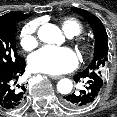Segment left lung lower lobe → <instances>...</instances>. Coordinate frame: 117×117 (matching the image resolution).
I'll use <instances>...</instances> for the list:
<instances>
[{
  "instance_id": "obj_1",
  "label": "left lung lower lobe",
  "mask_w": 117,
  "mask_h": 117,
  "mask_svg": "<svg viewBox=\"0 0 117 117\" xmlns=\"http://www.w3.org/2000/svg\"><path fill=\"white\" fill-rule=\"evenodd\" d=\"M76 82H85L84 89L64 97L63 103L69 108H82L90 106L99 95L103 86V77L95 72L82 71L74 75Z\"/></svg>"
}]
</instances>
